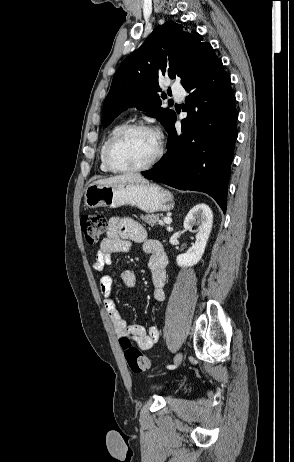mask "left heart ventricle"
I'll return each instance as SVG.
<instances>
[{
	"label": "left heart ventricle",
	"mask_w": 294,
	"mask_h": 462,
	"mask_svg": "<svg viewBox=\"0 0 294 462\" xmlns=\"http://www.w3.org/2000/svg\"><path fill=\"white\" fill-rule=\"evenodd\" d=\"M157 150V137L148 131L133 130L116 143L113 162L119 167L133 168L148 162Z\"/></svg>",
	"instance_id": "left-heart-ventricle-1"
}]
</instances>
